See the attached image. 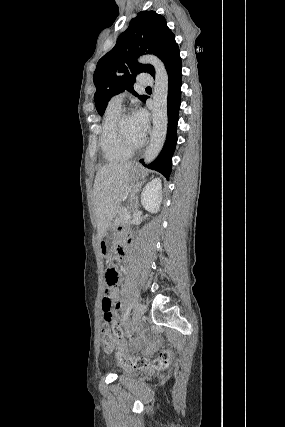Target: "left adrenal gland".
<instances>
[{"instance_id":"1","label":"left adrenal gland","mask_w":285,"mask_h":427,"mask_svg":"<svg viewBox=\"0 0 285 427\" xmlns=\"http://www.w3.org/2000/svg\"><path fill=\"white\" fill-rule=\"evenodd\" d=\"M141 186H142V184L137 186V188L135 189V191L133 192V194L131 195V198H130V202L132 203L131 205H133L134 211H136L137 208L139 207L138 197L136 196V194L141 189Z\"/></svg>"}]
</instances>
